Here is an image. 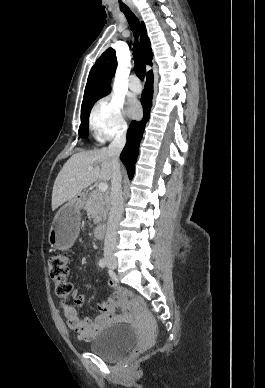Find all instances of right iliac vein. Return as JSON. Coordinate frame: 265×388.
<instances>
[{
	"label": "right iliac vein",
	"instance_id": "63e3f726",
	"mask_svg": "<svg viewBox=\"0 0 265 388\" xmlns=\"http://www.w3.org/2000/svg\"><path fill=\"white\" fill-rule=\"evenodd\" d=\"M107 263H108L110 268H112V269H116L117 268V261H116V259L111 258V257H107Z\"/></svg>",
	"mask_w": 265,
	"mask_h": 388
}]
</instances>
